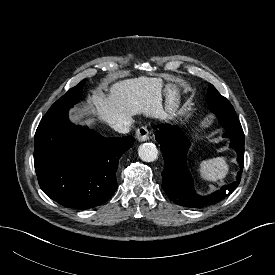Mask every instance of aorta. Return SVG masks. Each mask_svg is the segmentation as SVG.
<instances>
[{"label":"aorta","instance_id":"1","mask_svg":"<svg viewBox=\"0 0 275 275\" xmlns=\"http://www.w3.org/2000/svg\"><path fill=\"white\" fill-rule=\"evenodd\" d=\"M138 155L142 161L153 162L158 157V149L153 143H143L138 148Z\"/></svg>","mask_w":275,"mask_h":275}]
</instances>
